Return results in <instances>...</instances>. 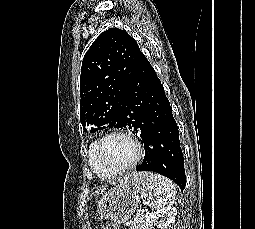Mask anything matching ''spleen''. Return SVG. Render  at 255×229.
Masks as SVG:
<instances>
[{"mask_svg":"<svg viewBox=\"0 0 255 229\" xmlns=\"http://www.w3.org/2000/svg\"><path fill=\"white\" fill-rule=\"evenodd\" d=\"M157 187L152 196L148 199V205L152 208H162L171 206L176 200L175 184L165 176L160 174L153 175Z\"/></svg>","mask_w":255,"mask_h":229,"instance_id":"obj_1","label":"spleen"}]
</instances>
